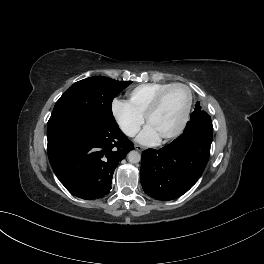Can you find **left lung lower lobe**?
Wrapping results in <instances>:
<instances>
[{
	"mask_svg": "<svg viewBox=\"0 0 264 264\" xmlns=\"http://www.w3.org/2000/svg\"><path fill=\"white\" fill-rule=\"evenodd\" d=\"M211 117L199 103L184 132L159 150L142 153L141 185L145 193L158 200H172L187 192L203 173L212 143Z\"/></svg>",
	"mask_w": 264,
	"mask_h": 264,
	"instance_id": "0a47b994",
	"label": "left lung lower lobe"
}]
</instances>
